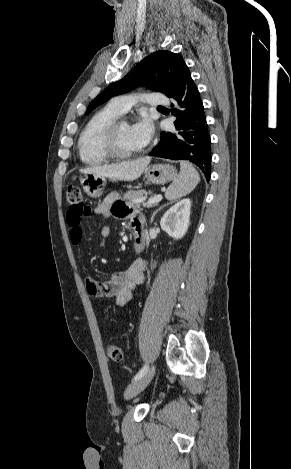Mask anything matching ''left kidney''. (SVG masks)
<instances>
[{
    "mask_svg": "<svg viewBox=\"0 0 291 469\" xmlns=\"http://www.w3.org/2000/svg\"><path fill=\"white\" fill-rule=\"evenodd\" d=\"M191 201L186 198L169 208L160 221V226L168 235L178 240L187 232L190 224Z\"/></svg>",
    "mask_w": 291,
    "mask_h": 469,
    "instance_id": "1",
    "label": "left kidney"
}]
</instances>
